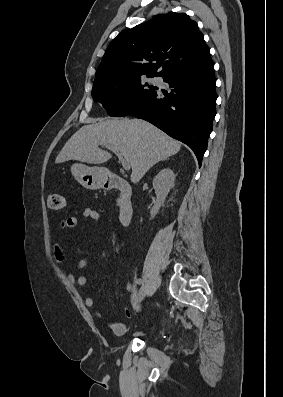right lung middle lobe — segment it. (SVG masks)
<instances>
[{"instance_id": "obj_1", "label": "right lung middle lobe", "mask_w": 283, "mask_h": 397, "mask_svg": "<svg viewBox=\"0 0 283 397\" xmlns=\"http://www.w3.org/2000/svg\"><path fill=\"white\" fill-rule=\"evenodd\" d=\"M144 86L141 77L96 81L91 94L94 101L100 102L110 116L124 117L156 93L154 86H149L150 89H145Z\"/></svg>"}]
</instances>
